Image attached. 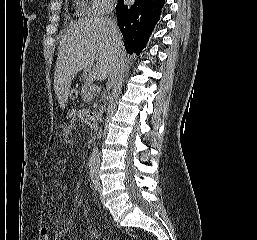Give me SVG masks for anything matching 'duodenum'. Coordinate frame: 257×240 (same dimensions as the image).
I'll return each mask as SVG.
<instances>
[{
	"label": "duodenum",
	"instance_id": "duodenum-1",
	"mask_svg": "<svg viewBox=\"0 0 257 240\" xmlns=\"http://www.w3.org/2000/svg\"><path fill=\"white\" fill-rule=\"evenodd\" d=\"M101 119H102V116L100 113H97L92 116V118H91L92 126L95 130H98V125H99V122L101 121Z\"/></svg>",
	"mask_w": 257,
	"mask_h": 240
}]
</instances>
